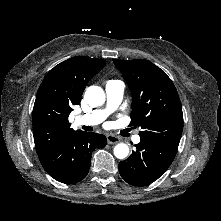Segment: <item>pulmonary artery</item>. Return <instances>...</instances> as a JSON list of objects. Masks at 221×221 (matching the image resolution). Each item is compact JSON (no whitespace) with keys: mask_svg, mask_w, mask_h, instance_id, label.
Instances as JSON below:
<instances>
[{"mask_svg":"<svg viewBox=\"0 0 221 221\" xmlns=\"http://www.w3.org/2000/svg\"><path fill=\"white\" fill-rule=\"evenodd\" d=\"M124 87L125 86L121 81H109L105 87L107 96L105 108L97 109L88 114L78 116L76 118L77 124L93 126L103 122L120 105L123 98ZM133 141L134 143H139L140 137L138 135L134 136Z\"/></svg>","mask_w":221,"mask_h":221,"instance_id":"1","label":"pulmonary artery"}]
</instances>
